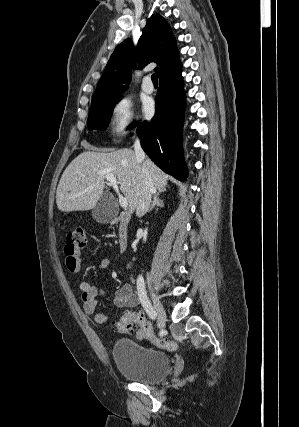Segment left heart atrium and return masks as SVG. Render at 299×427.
I'll return each mask as SVG.
<instances>
[{
  "mask_svg": "<svg viewBox=\"0 0 299 427\" xmlns=\"http://www.w3.org/2000/svg\"><path fill=\"white\" fill-rule=\"evenodd\" d=\"M144 112L146 115H151L153 113V104L152 102H147L144 106Z\"/></svg>",
  "mask_w": 299,
  "mask_h": 427,
  "instance_id": "1",
  "label": "left heart atrium"
}]
</instances>
